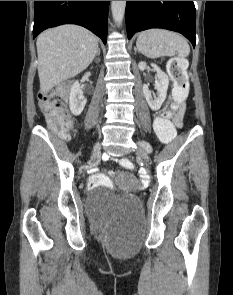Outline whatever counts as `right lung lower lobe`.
<instances>
[{
  "label": "right lung lower lobe",
  "instance_id": "1",
  "mask_svg": "<svg viewBox=\"0 0 233 295\" xmlns=\"http://www.w3.org/2000/svg\"><path fill=\"white\" fill-rule=\"evenodd\" d=\"M110 1H35L33 37L43 30L61 24H78L107 39V17Z\"/></svg>",
  "mask_w": 233,
  "mask_h": 295
}]
</instances>
